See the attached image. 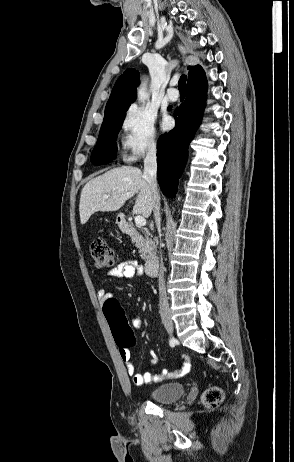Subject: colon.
Segmentation results:
<instances>
[{"label":"colon","mask_w":294,"mask_h":462,"mask_svg":"<svg viewBox=\"0 0 294 462\" xmlns=\"http://www.w3.org/2000/svg\"><path fill=\"white\" fill-rule=\"evenodd\" d=\"M90 254L93 264L97 268H109L115 263V253L108 243L100 237L92 240ZM103 312L111 328L118 347L129 348L135 345V337L128 325L124 311L119 302L114 298H107L103 302ZM223 391L218 387H212L203 393V403L210 408H215L223 401Z\"/></svg>","instance_id":"obj_1"}]
</instances>
